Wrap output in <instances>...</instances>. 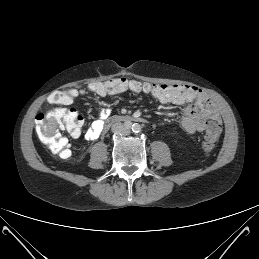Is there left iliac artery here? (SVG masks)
<instances>
[{"mask_svg":"<svg viewBox=\"0 0 259 259\" xmlns=\"http://www.w3.org/2000/svg\"><path fill=\"white\" fill-rule=\"evenodd\" d=\"M132 130H133V132L138 133L141 131V127H140V125L134 124L132 127Z\"/></svg>","mask_w":259,"mask_h":259,"instance_id":"1","label":"left iliac artery"}]
</instances>
